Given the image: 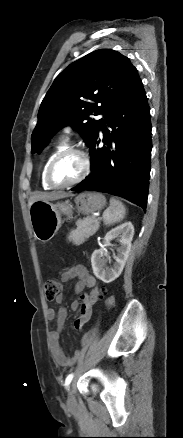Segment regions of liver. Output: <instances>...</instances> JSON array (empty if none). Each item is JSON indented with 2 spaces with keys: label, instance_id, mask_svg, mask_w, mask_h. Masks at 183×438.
I'll use <instances>...</instances> for the list:
<instances>
[{
  "label": "liver",
  "instance_id": "6515ba94",
  "mask_svg": "<svg viewBox=\"0 0 183 438\" xmlns=\"http://www.w3.org/2000/svg\"><path fill=\"white\" fill-rule=\"evenodd\" d=\"M70 196H72V194L65 192L39 193L29 199L28 205L30 206L33 202L38 200L53 201Z\"/></svg>",
  "mask_w": 183,
  "mask_h": 438
}]
</instances>
